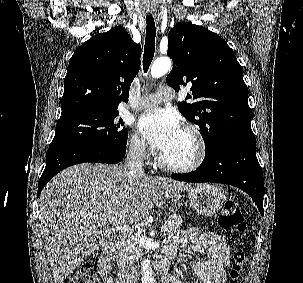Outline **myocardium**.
<instances>
[{
  "mask_svg": "<svg viewBox=\"0 0 303 283\" xmlns=\"http://www.w3.org/2000/svg\"><path fill=\"white\" fill-rule=\"evenodd\" d=\"M182 131L187 133L192 138L195 144L194 157L190 162L186 164L176 165V164L168 163L164 159L163 154L160 153L158 157V163L160 167L166 171H170L174 173H189L198 169L205 159L206 143L201 131L195 125L192 124H185L182 127Z\"/></svg>",
  "mask_w": 303,
  "mask_h": 283,
  "instance_id": "myocardium-1",
  "label": "myocardium"
}]
</instances>
